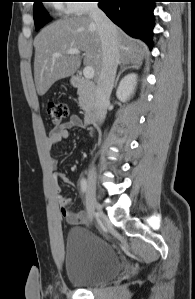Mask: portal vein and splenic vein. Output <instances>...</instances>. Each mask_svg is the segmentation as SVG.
Returning a JSON list of instances; mask_svg holds the SVG:
<instances>
[{"label":"portal vein and splenic vein","mask_w":195,"mask_h":299,"mask_svg":"<svg viewBox=\"0 0 195 299\" xmlns=\"http://www.w3.org/2000/svg\"><path fill=\"white\" fill-rule=\"evenodd\" d=\"M68 55H74V54H80V50L76 49V48H71L67 51ZM55 57H59L61 56L60 53H55L54 54ZM94 68L92 66H86L83 69V75L85 77V79H92L94 77Z\"/></svg>","instance_id":"18ae733b"}]
</instances>
